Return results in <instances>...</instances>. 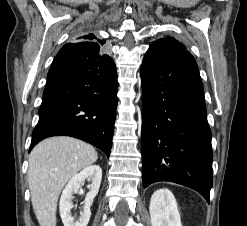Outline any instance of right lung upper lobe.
I'll return each instance as SVG.
<instances>
[{
  "label": "right lung upper lobe",
  "mask_w": 247,
  "mask_h": 226,
  "mask_svg": "<svg viewBox=\"0 0 247 226\" xmlns=\"http://www.w3.org/2000/svg\"><path fill=\"white\" fill-rule=\"evenodd\" d=\"M78 39L87 43H98L101 44L102 47H104L105 44V40L98 38L95 34L92 33L80 35Z\"/></svg>",
  "instance_id": "obj_1"
}]
</instances>
